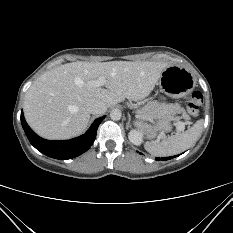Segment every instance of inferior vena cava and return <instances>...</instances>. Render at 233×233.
Wrapping results in <instances>:
<instances>
[{"label": "inferior vena cava", "instance_id": "obj_1", "mask_svg": "<svg viewBox=\"0 0 233 233\" xmlns=\"http://www.w3.org/2000/svg\"><path fill=\"white\" fill-rule=\"evenodd\" d=\"M86 109L91 114H103L107 110V106L101 101L90 100L86 103Z\"/></svg>", "mask_w": 233, "mask_h": 233}]
</instances>
